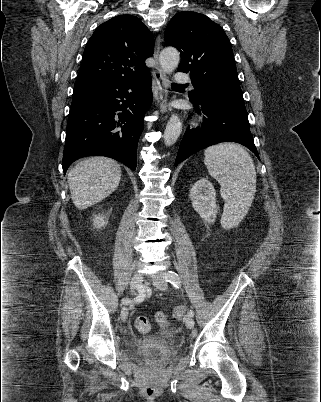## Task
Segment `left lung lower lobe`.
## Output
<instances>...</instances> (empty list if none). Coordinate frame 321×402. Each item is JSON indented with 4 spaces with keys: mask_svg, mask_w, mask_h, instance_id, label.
I'll use <instances>...</instances> for the list:
<instances>
[{
    "mask_svg": "<svg viewBox=\"0 0 321 402\" xmlns=\"http://www.w3.org/2000/svg\"><path fill=\"white\" fill-rule=\"evenodd\" d=\"M190 100L195 111L203 114L204 123L201 128L186 130L175 166L197 151L220 142L240 143L259 159L241 88L214 87L202 91L196 100Z\"/></svg>",
    "mask_w": 321,
    "mask_h": 402,
    "instance_id": "obj_1",
    "label": "left lung lower lobe"
}]
</instances>
